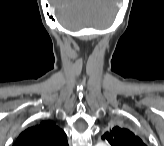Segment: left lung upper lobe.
I'll list each match as a JSON object with an SVG mask.
<instances>
[{"mask_svg": "<svg viewBox=\"0 0 164 146\" xmlns=\"http://www.w3.org/2000/svg\"><path fill=\"white\" fill-rule=\"evenodd\" d=\"M102 139L108 141L113 146H144L143 141L133 132L117 126L107 131L102 136Z\"/></svg>", "mask_w": 164, "mask_h": 146, "instance_id": "1", "label": "left lung upper lobe"}]
</instances>
